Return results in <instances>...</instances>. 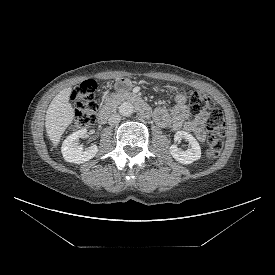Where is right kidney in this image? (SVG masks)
Instances as JSON below:
<instances>
[{
    "label": "right kidney",
    "instance_id": "right-kidney-1",
    "mask_svg": "<svg viewBox=\"0 0 275 275\" xmlns=\"http://www.w3.org/2000/svg\"><path fill=\"white\" fill-rule=\"evenodd\" d=\"M86 129L78 130L69 135L62 144L61 152L64 160L70 163L81 164L92 159L98 152V147L92 145L84 149L83 145L79 144V139L86 134Z\"/></svg>",
    "mask_w": 275,
    "mask_h": 275
}]
</instances>
